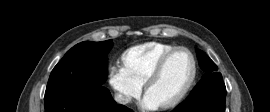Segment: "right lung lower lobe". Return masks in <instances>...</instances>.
Segmentation results:
<instances>
[{
	"instance_id": "1",
	"label": "right lung lower lobe",
	"mask_w": 270,
	"mask_h": 112,
	"mask_svg": "<svg viewBox=\"0 0 270 112\" xmlns=\"http://www.w3.org/2000/svg\"><path fill=\"white\" fill-rule=\"evenodd\" d=\"M45 112H133L118 105L103 86L89 89L61 84L45 92Z\"/></svg>"
}]
</instances>
